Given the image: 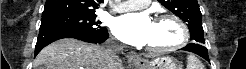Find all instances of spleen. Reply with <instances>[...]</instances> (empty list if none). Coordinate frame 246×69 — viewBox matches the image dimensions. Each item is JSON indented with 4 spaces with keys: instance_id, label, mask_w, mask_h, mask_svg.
Wrapping results in <instances>:
<instances>
[{
    "instance_id": "spleen-1",
    "label": "spleen",
    "mask_w": 246,
    "mask_h": 69,
    "mask_svg": "<svg viewBox=\"0 0 246 69\" xmlns=\"http://www.w3.org/2000/svg\"><path fill=\"white\" fill-rule=\"evenodd\" d=\"M187 69H204V65L195 55L189 54L187 56Z\"/></svg>"
}]
</instances>
